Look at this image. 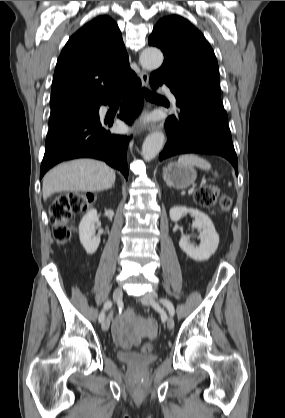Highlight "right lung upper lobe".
I'll use <instances>...</instances> for the list:
<instances>
[{
	"label": "right lung upper lobe",
	"instance_id": "obj_1",
	"mask_svg": "<svg viewBox=\"0 0 285 418\" xmlns=\"http://www.w3.org/2000/svg\"><path fill=\"white\" fill-rule=\"evenodd\" d=\"M135 77L118 25L109 16H98L63 48L53 76L51 108L103 103L125 90Z\"/></svg>",
	"mask_w": 285,
	"mask_h": 418
}]
</instances>
